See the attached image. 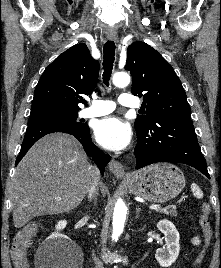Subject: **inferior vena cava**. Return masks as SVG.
I'll use <instances>...</instances> for the list:
<instances>
[{"mask_svg":"<svg viewBox=\"0 0 221 268\" xmlns=\"http://www.w3.org/2000/svg\"><path fill=\"white\" fill-rule=\"evenodd\" d=\"M95 174H96V178L94 179V181L92 182L89 190H88V198L91 199L93 197H96V195L98 194V184H99V170L96 168L95 169Z\"/></svg>","mask_w":221,"mask_h":268,"instance_id":"1","label":"inferior vena cava"}]
</instances>
